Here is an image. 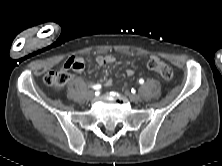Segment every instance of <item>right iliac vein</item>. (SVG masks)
Masks as SVG:
<instances>
[{
  "mask_svg": "<svg viewBox=\"0 0 222 166\" xmlns=\"http://www.w3.org/2000/svg\"><path fill=\"white\" fill-rule=\"evenodd\" d=\"M86 96H87L88 99H93L94 96H95V93H94L93 90H90V91L87 92Z\"/></svg>",
  "mask_w": 222,
  "mask_h": 166,
  "instance_id": "63e3f726",
  "label": "right iliac vein"
}]
</instances>
